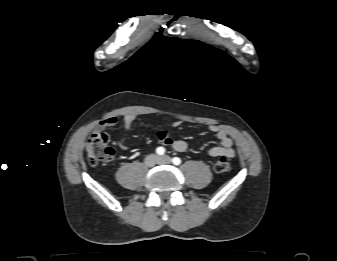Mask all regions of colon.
I'll use <instances>...</instances> for the list:
<instances>
[{
    "label": "colon",
    "instance_id": "colon-1",
    "mask_svg": "<svg viewBox=\"0 0 337 261\" xmlns=\"http://www.w3.org/2000/svg\"><path fill=\"white\" fill-rule=\"evenodd\" d=\"M87 157L91 165H99L109 161L114 155V149L109 145V136L105 132H94L87 142ZM230 159L226 155L214 163L216 173H225L230 170Z\"/></svg>",
    "mask_w": 337,
    "mask_h": 261
}]
</instances>
